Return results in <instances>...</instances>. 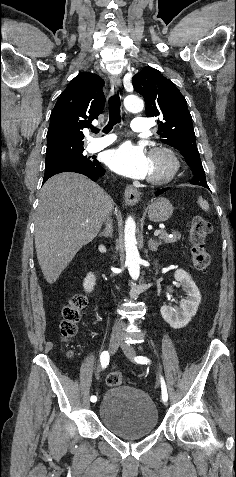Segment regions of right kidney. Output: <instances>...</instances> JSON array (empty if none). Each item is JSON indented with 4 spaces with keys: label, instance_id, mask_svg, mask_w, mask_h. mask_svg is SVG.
Here are the masks:
<instances>
[{
    "label": "right kidney",
    "instance_id": "ca27d5eb",
    "mask_svg": "<svg viewBox=\"0 0 236 477\" xmlns=\"http://www.w3.org/2000/svg\"><path fill=\"white\" fill-rule=\"evenodd\" d=\"M96 285V277L93 273H88L86 278L84 279V289L86 292H92L94 286Z\"/></svg>",
    "mask_w": 236,
    "mask_h": 477
}]
</instances>
